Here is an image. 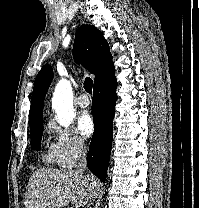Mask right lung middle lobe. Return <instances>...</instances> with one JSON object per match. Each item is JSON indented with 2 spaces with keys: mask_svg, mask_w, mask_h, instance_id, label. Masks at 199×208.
Listing matches in <instances>:
<instances>
[{
  "mask_svg": "<svg viewBox=\"0 0 199 208\" xmlns=\"http://www.w3.org/2000/svg\"><path fill=\"white\" fill-rule=\"evenodd\" d=\"M42 133H43V125L30 130V136H31V148L34 150L40 149V143L42 139Z\"/></svg>",
  "mask_w": 199,
  "mask_h": 208,
  "instance_id": "right-lung-middle-lobe-1",
  "label": "right lung middle lobe"
}]
</instances>
